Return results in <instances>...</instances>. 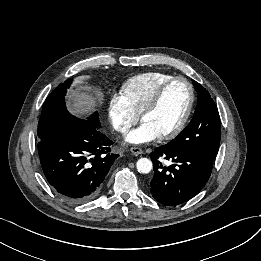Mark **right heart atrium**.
Instances as JSON below:
<instances>
[{
  "mask_svg": "<svg viewBox=\"0 0 261 261\" xmlns=\"http://www.w3.org/2000/svg\"><path fill=\"white\" fill-rule=\"evenodd\" d=\"M109 121L114 130L126 134L138 122L139 114L131 107L122 93L114 94L108 104Z\"/></svg>",
  "mask_w": 261,
  "mask_h": 261,
  "instance_id": "d8ad5b80",
  "label": "right heart atrium"
}]
</instances>
